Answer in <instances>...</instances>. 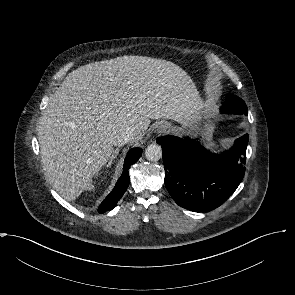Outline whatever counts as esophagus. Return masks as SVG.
Wrapping results in <instances>:
<instances>
[{"label":"esophagus","instance_id":"obj_1","mask_svg":"<svg viewBox=\"0 0 295 295\" xmlns=\"http://www.w3.org/2000/svg\"><path fill=\"white\" fill-rule=\"evenodd\" d=\"M169 129H170L169 124L159 123L158 125H156L155 132L157 134H164V133H167Z\"/></svg>","mask_w":295,"mask_h":295}]
</instances>
